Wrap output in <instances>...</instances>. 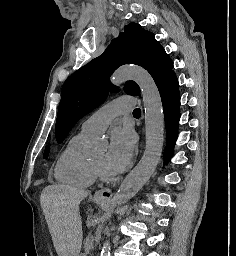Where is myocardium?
Wrapping results in <instances>:
<instances>
[{"instance_id":"myocardium-1","label":"myocardium","mask_w":236,"mask_h":256,"mask_svg":"<svg viewBox=\"0 0 236 256\" xmlns=\"http://www.w3.org/2000/svg\"><path fill=\"white\" fill-rule=\"evenodd\" d=\"M93 166L97 176L105 183H114L119 180V176L110 172H107L103 167L93 161Z\"/></svg>"}]
</instances>
